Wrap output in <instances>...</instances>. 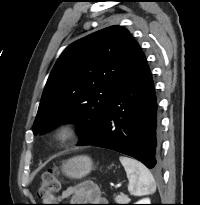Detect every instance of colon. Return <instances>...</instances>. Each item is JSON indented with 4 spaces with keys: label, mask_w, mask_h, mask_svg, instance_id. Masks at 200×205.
<instances>
[{
    "label": "colon",
    "mask_w": 200,
    "mask_h": 205,
    "mask_svg": "<svg viewBox=\"0 0 200 205\" xmlns=\"http://www.w3.org/2000/svg\"><path fill=\"white\" fill-rule=\"evenodd\" d=\"M61 188V181L56 169H50L45 172L40 181L39 195L42 198H51L59 192Z\"/></svg>",
    "instance_id": "obj_1"
}]
</instances>
